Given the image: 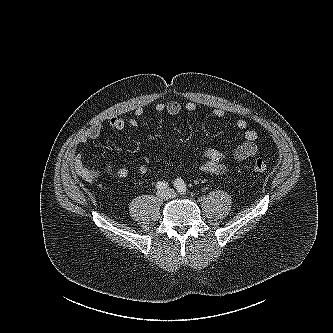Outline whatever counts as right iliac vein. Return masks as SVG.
<instances>
[{
  "instance_id": "1",
  "label": "right iliac vein",
  "mask_w": 333,
  "mask_h": 333,
  "mask_svg": "<svg viewBox=\"0 0 333 333\" xmlns=\"http://www.w3.org/2000/svg\"><path fill=\"white\" fill-rule=\"evenodd\" d=\"M157 196H158L161 200H166V199L169 198V194H168L167 190L158 191V192H157Z\"/></svg>"
}]
</instances>
